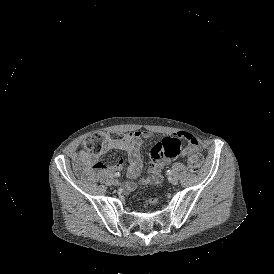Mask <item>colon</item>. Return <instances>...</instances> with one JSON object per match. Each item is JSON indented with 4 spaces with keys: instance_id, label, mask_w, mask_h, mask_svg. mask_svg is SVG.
<instances>
[{
    "instance_id": "1",
    "label": "colon",
    "mask_w": 274,
    "mask_h": 274,
    "mask_svg": "<svg viewBox=\"0 0 274 274\" xmlns=\"http://www.w3.org/2000/svg\"><path fill=\"white\" fill-rule=\"evenodd\" d=\"M105 145V134L94 133L88 136L83 142V149L91 156L99 155L104 149ZM203 157L199 152H191L189 154V165L192 168H199L202 165ZM156 199L152 196L148 200V204H154Z\"/></svg>"
}]
</instances>
